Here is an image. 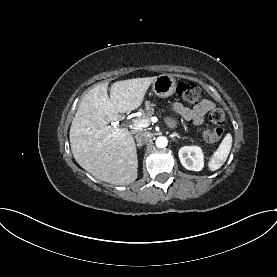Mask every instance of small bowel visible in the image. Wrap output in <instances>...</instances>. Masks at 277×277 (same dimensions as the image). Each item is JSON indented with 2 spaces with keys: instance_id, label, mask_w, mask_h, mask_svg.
<instances>
[{
  "instance_id": "small-bowel-1",
  "label": "small bowel",
  "mask_w": 277,
  "mask_h": 277,
  "mask_svg": "<svg viewBox=\"0 0 277 277\" xmlns=\"http://www.w3.org/2000/svg\"><path fill=\"white\" fill-rule=\"evenodd\" d=\"M214 108V103L210 100H202L196 104L193 108H188L181 103H173L170 110L185 120H191L195 124L199 125L202 123L204 116L208 111ZM170 123L174 124V121L170 119Z\"/></svg>"
}]
</instances>
